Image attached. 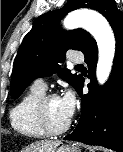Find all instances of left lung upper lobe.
Instances as JSON below:
<instances>
[{
	"instance_id": "5c2ea615",
	"label": "left lung upper lobe",
	"mask_w": 123,
	"mask_h": 152,
	"mask_svg": "<svg viewBox=\"0 0 123 152\" xmlns=\"http://www.w3.org/2000/svg\"><path fill=\"white\" fill-rule=\"evenodd\" d=\"M79 8L97 10L105 17L117 10L114 0H69L63 10L39 16L25 36L13 64L10 91L13 98H18L34 79L56 72L77 88L81 76L71 74L68 69H60L59 63L64 61L68 49L85 52L95 40L83 29L64 32L59 20Z\"/></svg>"
}]
</instances>
